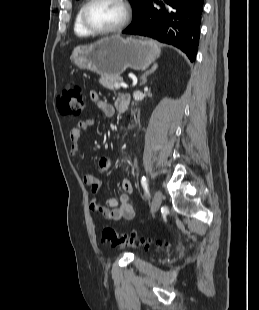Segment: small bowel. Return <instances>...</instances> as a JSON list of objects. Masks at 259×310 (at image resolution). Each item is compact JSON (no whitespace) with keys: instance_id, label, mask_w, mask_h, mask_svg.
Returning <instances> with one entry per match:
<instances>
[{"instance_id":"obj_1","label":"small bowel","mask_w":259,"mask_h":310,"mask_svg":"<svg viewBox=\"0 0 259 310\" xmlns=\"http://www.w3.org/2000/svg\"><path fill=\"white\" fill-rule=\"evenodd\" d=\"M90 99L95 103L98 109L107 117H112L115 113V107L105 101L100 100L97 92H91ZM120 99V98H119ZM119 101V100H118ZM118 104V103H117ZM94 123V119L89 118L81 121L76 127L72 128L69 134L71 141L70 155L72 158H77L79 151V142L82 134ZM98 168L102 173H109L112 170V162L107 157H102L98 160ZM83 182L91 188L92 199L90 202V210L98 215L111 221L132 220L135 217V209L130 203L129 195L133 191L132 183L129 179H123L121 188L123 193L119 198L109 196L104 205L99 203L96 196L102 188L101 182L91 173H86L83 176Z\"/></svg>"}]
</instances>
